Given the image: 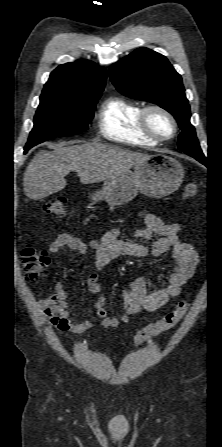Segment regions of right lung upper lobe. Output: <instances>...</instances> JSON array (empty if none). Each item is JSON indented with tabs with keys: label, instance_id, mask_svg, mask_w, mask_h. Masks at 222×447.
Masks as SVG:
<instances>
[{
	"label": "right lung upper lobe",
	"instance_id": "1",
	"mask_svg": "<svg viewBox=\"0 0 222 447\" xmlns=\"http://www.w3.org/2000/svg\"><path fill=\"white\" fill-rule=\"evenodd\" d=\"M106 70L91 61L79 60L58 66L43 91H59L75 96L100 94L106 82Z\"/></svg>",
	"mask_w": 222,
	"mask_h": 447
}]
</instances>
